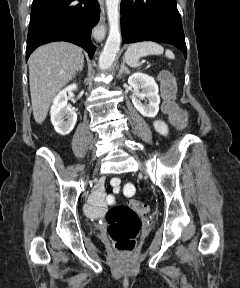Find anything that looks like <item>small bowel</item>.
I'll return each mask as SVG.
<instances>
[{
  "label": "small bowel",
  "instance_id": "1",
  "mask_svg": "<svg viewBox=\"0 0 240 288\" xmlns=\"http://www.w3.org/2000/svg\"><path fill=\"white\" fill-rule=\"evenodd\" d=\"M154 128L158 133L161 135H167L168 127L162 120H155L153 122ZM111 184L113 186V192L115 194L119 193L120 191V180L118 178H114L111 180ZM125 194L127 196H131L134 192V187L132 184H127L125 186ZM107 202L109 204L114 203V198H108ZM106 207V200H105V193L103 188V181H100L96 186L95 190L91 194L88 204L85 208L87 215L91 218L100 217L105 212Z\"/></svg>",
  "mask_w": 240,
  "mask_h": 288
}]
</instances>
